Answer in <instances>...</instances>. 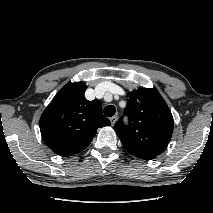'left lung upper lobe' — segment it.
<instances>
[{
	"label": "left lung upper lobe",
	"instance_id": "5c2ea615",
	"mask_svg": "<svg viewBox=\"0 0 213 213\" xmlns=\"http://www.w3.org/2000/svg\"><path fill=\"white\" fill-rule=\"evenodd\" d=\"M128 96L124 113L129 117V125L125 126L121 118L114 129L129 153L144 160L154 159L170 142L171 111L156 89L142 88Z\"/></svg>",
	"mask_w": 213,
	"mask_h": 213
}]
</instances>
